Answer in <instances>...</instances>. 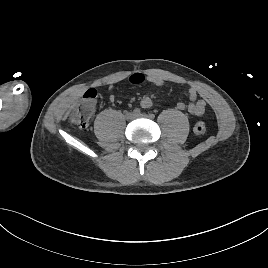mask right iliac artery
Here are the masks:
<instances>
[{
  "mask_svg": "<svg viewBox=\"0 0 268 268\" xmlns=\"http://www.w3.org/2000/svg\"><path fill=\"white\" fill-rule=\"evenodd\" d=\"M133 113H134L135 115H139V114L141 113V110H140L139 108H135V109L133 110Z\"/></svg>",
  "mask_w": 268,
  "mask_h": 268,
  "instance_id": "1",
  "label": "right iliac artery"
}]
</instances>
